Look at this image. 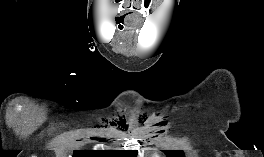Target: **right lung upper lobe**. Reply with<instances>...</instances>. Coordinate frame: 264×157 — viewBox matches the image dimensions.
I'll list each match as a JSON object with an SVG mask.
<instances>
[{"mask_svg": "<svg viewBox=\"0 0 264 157\" xmlns=\"http://www.w3.org/2000/svg\"><path fill=\"white\" fill-rule=\"evenodd\" d=\"M136 150L75 151L73 157H135Z\"/></svg>", "mask_w": 264, "mask_h": 157, "instance_id": "obj_1", "label": "right lung upper lobe"}]
</instances>
